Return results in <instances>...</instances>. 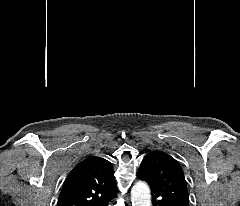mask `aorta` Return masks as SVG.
<instances>
[{"instance_id": "aorta-1", "label": "aorta", "mask_w": 240, "mask_h": 206, "mask_svg": "<svg viewBox=\"0 0 240 206\" xmlns=\"http://www.w3.org/2000/svg\"><path fill=\"white\" fill-rule=\"evenodd\" d=\"M132 206H151V194L148 185L137 182L131 189Z\"/></svg>"}]
</instances>
